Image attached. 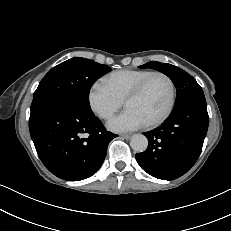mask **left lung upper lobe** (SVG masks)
I'll return each instance as SVG.
<instances>
[{
    "mask_svg": "<svg viewBox=\"0 0 231 231\" xmlns=\"http://www.w3.org/2000/svg\"><path fill=\"white\" fill-rule=\"evenodd\" d=\"M140 68H152L167 75L176 87V103H178L186 93L202 89L191 75L174 65L151 61L140 66Z\"/></svg>",
    "mask_w": 231,
    "mask_h": 231,
    "instance_id": "1",
    "label": "left lung upper lobe"
}]
</instances>
